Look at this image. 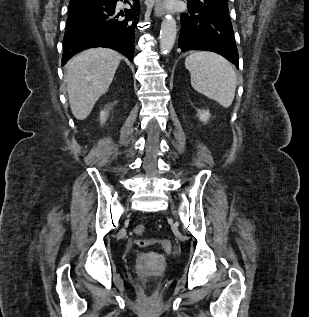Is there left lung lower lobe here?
I'll return each instance as SVG.
<instances>
[{
	"instance_id": "obj_1",
	"label": "left lung lower lobe",
	"mask_w": 309,
	"mask_h": 317,
	"mask_svg": "<svg viewBox=\"0 0 309 317\" xmlns=\"http://www.w3.org/2000/svg\"><path fill=\"white\" fill-rule=\"evenodd\" d=\"M182 14L178 47L182 51L206 50L218 53L239 67L234 30L229 17L217 11L188 6Z\"/></svg>"
}]
</instances>
